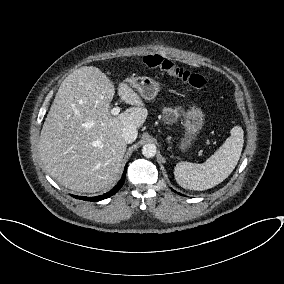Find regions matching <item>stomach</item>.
I'll list each match as a JSON object with an SVG mask.
<instances>
[{
    "label": "stomach",
    "instance_id": "0dacf381",
    "mask_svg": "<svg viewBox=\"0 0 284 284\" xmlns=\"http://www.w3.org/2000/svg\"><path fill=\"white\" fill-rule=\"evenodd\" d=\"M127 82L130 86L136 88L140 95L146 100L154 99L160 90V83L146 76L131 77L127 79ZM203 121L204 114L201 109L196 106H192L184 113L185 132L178 143V148L182 152H186L196 140L197 134L202 129Z\"/></svg>",
    "mask_w": 284,
    "mask_h": 284
}]
</instances>
